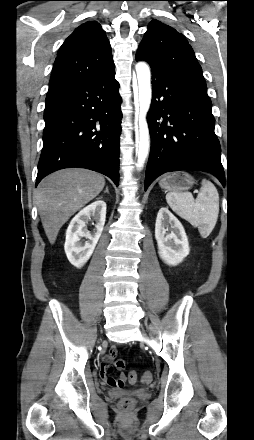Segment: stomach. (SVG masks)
<instances>
[{"mask_svg": "<svg viewBox=\"0 0 254 440\" xmlns=\"http://www.w3.org/2000/svg\"><path fill=\"white\" fill-rule=\"evenodd\" d=\"M194 183V179L186 172H175L165 175L159 182L161 188L170 192H182L188 190Z\"/></svg>", "mask_w": 254, "mask_h": 440, "instance_id": "obj_1", "label": "stomach"}]
</instances>
